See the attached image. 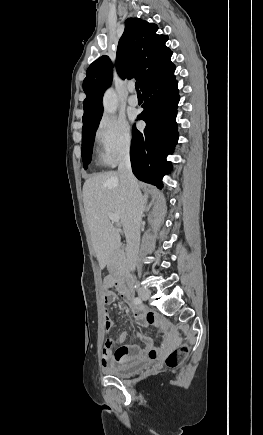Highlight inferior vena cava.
<instances>
[{
    "label": "inferior vena cava",
    "instance_id": "1",
    "mask_svg": "<svg viewBox=\"0 0 263 435\" xmlns=\"http://www.w3.org/2000/svg\"><path fill=\"white\" fill-rule=\"evenodd\" d=\"M118 174L121 177L125 191L128 225L126 235V262L130 270H134L140 245V227L144 211V199L139 190V185L133 176L129 152L121 158L118 166Z\"/></svg>",
    "mask_w": 263,
    "mask_h": 435
}]
</instances>
